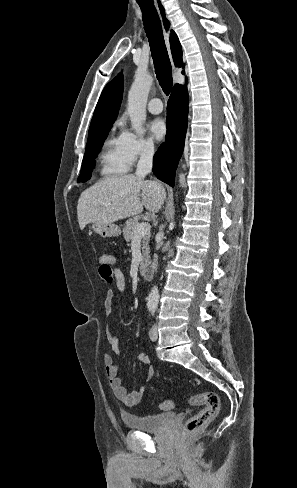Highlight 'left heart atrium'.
I'll return each instance as SVG.
<instances>
[{
	"label": "left heart atrium",
	"instance_id": "left-heart-atrium-1",
	"mask_svg": "<svg viewBox=\"0 0 297 488\" xmlns=\"http://www.w3.org/2000/svg\"><path fill=\"white\" fill-rule=\"evenodd\" d=\"M150 131L157 140H162L167 134V127L162 119H155L150 124Z\"/></svg>",
	"mask_w": 297,
	"mask_h": 488
}]
</instances>
